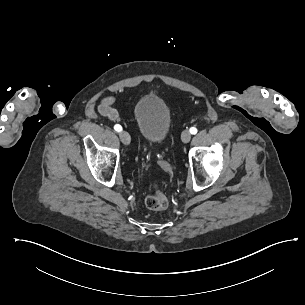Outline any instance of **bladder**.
<instances>
[{
    "instance_id": "1",
    "label": "bladder",
    "mask_w": 305,
    "mask_h": 305,
    "mask_svg": "<svg viewBox=\"0 0 305 305\" xmlns=\"http://www.w3.org/2000/svg\"><path fill=\"white\" fill-rule=\"evenodd\" d=\"M134 123L139 136L150 143L166 140L173 122L170 104L155 92L145 93L132 105Z\"/></svg>"
}]
</instances>
